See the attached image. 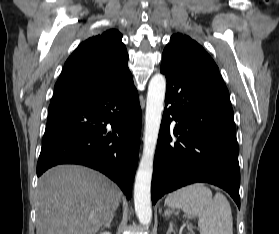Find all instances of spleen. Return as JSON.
I'll use <instances>...</instances> for the list:
<instances>
[{"label": "spleen", "instance_id": "obj_1", "mask_svg": "<svg viewBox=\"0 0 279 234\" xmlns=\"http://www.w3.org/2000/svg\"><path fill=\"white\" fill-rule=\"evenodd\" d=\"M165 204L198 217L200 234H233L231 207L222 193L212 197L211 190L195 183L167 196Z\"/></svg>", "mask_w": 279, "mask_h": 234}]
</instances>
